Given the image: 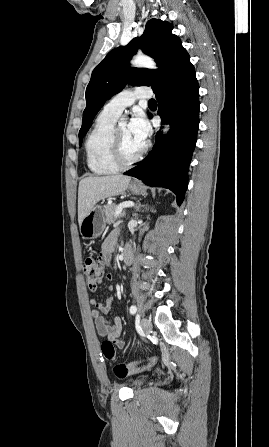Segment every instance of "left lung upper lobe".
I'll return each mask as SVG.
<instances>
[{"label":"left lung upper lobe","instance_id":"left-lung-upper-lobe-1","mask_svg":"<svg viewBox=\"0 0 269 447\" xmlns=\"http://www.w3.org/2000/svg\"><path fill=\"white\" fill-rule=\"evenodd\" d=\"M172 29V24L166 21L151 19L140 38H134L127 46L112 50L96 66L86 89V108L79 131L80 145L105 101L120 92L127 82L132 85L151 86L153 91H156L168 80L182 52L185 51L180 38L172 34ZM138 48L155 58L159 69L130 67L128 61Z\"/></svg>","mask_w":269,"mask_h":447}]
</instances>
